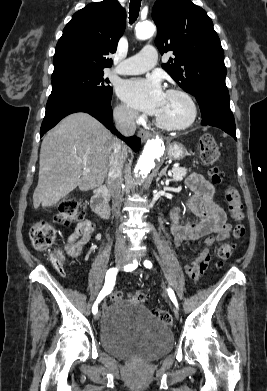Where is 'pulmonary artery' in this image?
Returning <instances> with one entry per match:
<instances>
[{"mask_svg":"<svg viewBox=\"0 0 267 391\" xmlns=\"http://www.w3.org/2000/svg\"><path fill=\"white\" fill-rule=\"evenodd\" d=\"M157 50L152 45H146L136 55L123 60L114 72L121 75L143 73L155 66L157 62Z\"/></svg>","mask_w":267,"mask_h":391,"instance_id":"e3ab8cb5","label":"pulmonary artery"}]
</instances>
